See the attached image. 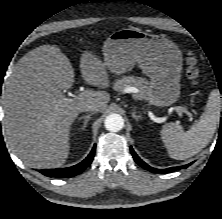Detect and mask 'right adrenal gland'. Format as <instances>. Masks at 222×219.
<instances>
[{
    "instance_id": "right-adrenal-gland-1",
    "label": "right adrenal gland",
    "mask_w": 222,
    "mask_h": 219,
    "mask_svg": "<svg viewBox=\"0 0 222 219\" xmlns=\"http://www.w3.org/2000/svg\"><path fill=\"white\" fill-rule=\"evenodd\" d=\"M94 114V112H91V113H89L88 115H86V116H82V117H80L78 120L79 121H81L82 119H84V122H83V126H82V130H84L85 128H86V126H87V124H88V122H89V120H90V118H91V116Z\"/></svg>"
}]
</instances>
